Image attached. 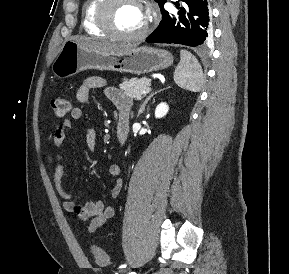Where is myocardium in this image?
<instances>
[{
    "label": "myocardium",
    "mask_w": 289,
    "mask_h": 274,
    "mask_svg": "<svg viewBox=\"0 0 289 274\" xmlns=\"http://www.w3.org/2000/svg\"><path fill=\"white\" fill-rule=\"evenodd\" d=\"M122 2L135 3L142 7L140 0H101L95 16L98 27L108 36L121 41H137L144 38L150 29V22L148 19L146 20L144 27L134 34H123L114 28L111 21L112 12L115 6Z\"/></svg>",
    "instance_id": "1"
}]
</instances>
